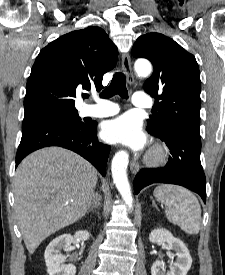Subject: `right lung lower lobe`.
I'll list each match as a JSON object with an SVG mask.
<instances>
[{
  "mask_svg": "<svg viewBox=\"0 0 225 275\" xmlns=\"http://www.w3.org/2000/svg\"><path fill=\"white\" fill-rule=\"evenodd\" d=\"M95 125L84 124L83 127H76L50 117L24 119L16 166L35 150L48 146H60L78 153L105 176L111 147L98 141Z\"/></svg>",
  "mask_w": 225,
  "mask_h": 275,
  "instance_id": "obj_1",
  "label": "right lung lower lobe"
}]
</instances>
